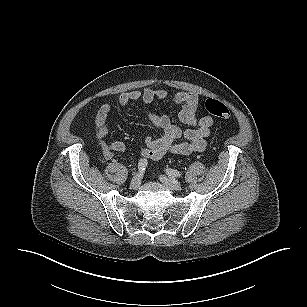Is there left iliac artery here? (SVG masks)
<instances>
[{
    "label": "left iliac artery",
    "instance_id": "44dca946",
    "mask_svg": "<svg viewBox=\"0 0 307 307\" xmlns=\"http://www.w3.org/2000/svg\"><path fill=\"white\" fill-rule=\"evenodd\" d=\"M166 172H167L168 176L171 177V178L182 177V174L179 171L174 170V169H167Z\"/></svg>",
    "mask_w": 307,
    "mask_h": 307
}]
</instances>
